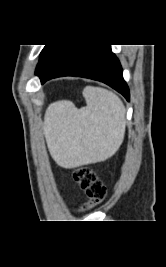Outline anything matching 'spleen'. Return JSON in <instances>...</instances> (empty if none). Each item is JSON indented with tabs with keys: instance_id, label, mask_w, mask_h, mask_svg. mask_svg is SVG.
I'll return each mask as SVG.
<instances>
[{
	"instance_id": "obj_1",
	"label": "spleen",
	"mask_w": 166,
	"mask_h": 267,
	"mask_svg": "<svg viewBox=\"0 0 166 267\" xmlns=\"http://www.w3.org/2000/svg\"><path fill=\"white\" fill-rule=\"evenodd\" d=\"M86 107L51 105L44 131L52 157L72 168L104 161L120 147L125 135V107L113 92L86 86Z\"/></svg>"
}]
</instances>
